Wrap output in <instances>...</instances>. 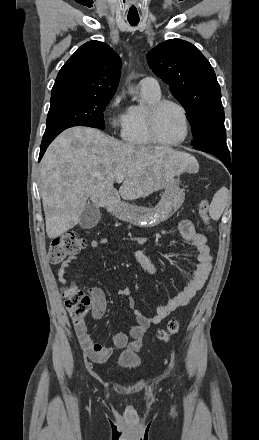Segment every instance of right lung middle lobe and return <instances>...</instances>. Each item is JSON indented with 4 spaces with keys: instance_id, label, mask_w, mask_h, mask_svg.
Masks as SVG:
<instances>
[{
    "instance_id": "obj_1",
    "label": "right lung middle lobe",
    "mask_w": 259,
    "mask_h": 440,
    "mask_svg": "<svg viewBox=\"0 0 259 440\" xmlns=\"http://www.w3.org/2000/svg\"><path fill=\"white\" fill-rule=\"evenodd\" d=\"M112 97L84 93L51 95L44 135L73 126L104 129L103 111Z\"/></svg>"
}]
</instances>
